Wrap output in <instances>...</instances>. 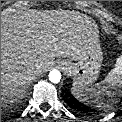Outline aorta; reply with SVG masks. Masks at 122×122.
<instances>
[{"label":"aorta","instance_id":"1","mask_svg":"<svg viewBox=\"0 0 122 122\" xmlns=\"http://www.w3.org/2000/svg\"><path fill=\"white\" fill-rule=\"evenodd\" d=\"M48 76L52 83H58L61 80V73L56 69L51 70Z\"/></svg>","mask_w":122,"mask_h":122}]
</instances>
